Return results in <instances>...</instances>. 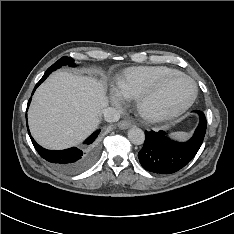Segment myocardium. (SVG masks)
Listing matches in <instances>:
<instances>
[{
    "instance_id": "1",
    "label": "myocardium",
    "mask_w": 234,
    "mask_h": 234,
    "mask_svg": "<svg viewBox=\"0 0 234 234\" xmlns=\"http://www.w3.org/2000/svg\"><path fill=\"white\" fill-rule=\"evenodd\" d=\"M182 77L190 81L193 87L191 97L181 106L174 108H156L152 106V101L158 93L174 78ZM198 95V88L195 81L188 75L182 72H175L162 78L153 87L143 93L137 100V109L139 114L146 120L157 122L169 118L177 117L187 111L195 102Z\"/></svg>"
}]
</instances>
